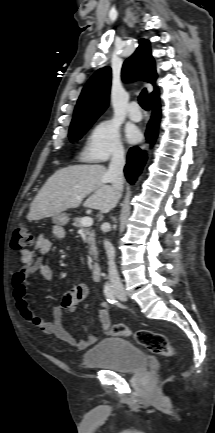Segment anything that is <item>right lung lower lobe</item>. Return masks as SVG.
Returning <instances> with one entry per match:
<instances>
[{
	"label": "right lung lower lobe",
	"mask_w": 215,
	"mask_h": 433,
	"mask_svg": "<svg viewBox=\"0 0 215 433\" xmlns=\"http://www.w3.org/2000/svg\"><path fill=\"white\" fill-rule=\"evenodd\" d=\"M152 108V116L147 125L146 138L147 141L154 143L158 135V127L160 124L161 109L159 95L150 98ZM146 162L145 151H141L138 147H132L127 156V164L124 168L125 176L130 184H134L139 176L142 167Z\"/></svg>",
	"instance_id": "right-lung-lower-lobe-1"
}]
</instances>
